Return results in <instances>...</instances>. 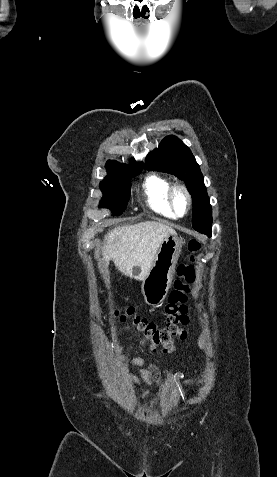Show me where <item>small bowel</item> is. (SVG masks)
Returning <instances> with one entry per match:
<instances>
[{
	"label": "small bowel",
	"mask_w": 277,
	"mask_h": 477,
	"mask_svg": "<svg viewBox=\"0 0 277 477\" xmlns=\"http://www.w3.org/2000/svg\"><path fill=\"white\" fill-rule=\"evenodd\" d=\"M198 346L200 349H205V334H201L198 338ZM127 360V359H126ZM131 366L138 371V374H131L130 379L137 385L144 387L146 385H153L160 382V372L156 366L150 365L147 368H143L145 361L140 358H132L127 360Z\"/></svg>",
	"instance_id": "small-bowel-1"
}]
</instances>
